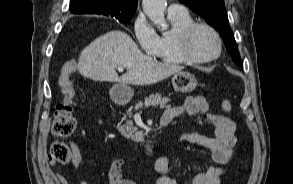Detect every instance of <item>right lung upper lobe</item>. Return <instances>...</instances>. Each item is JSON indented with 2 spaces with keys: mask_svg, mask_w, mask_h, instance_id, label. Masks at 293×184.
<instances>
[{
  "mask_svg": "<svg viewBox=\"0 0 293 184\" xmlns=\"http://www.w3.org/2000/svg\"><path fill=\"white\" fill-rule=\"evenodd\" d=\"M137 0H71L73 14H101L116 18L133 17Z\"/></svg>",
  "mask_w": 293,
  "mask_h": 184,
  "instance_id": "right-lung-upper-lobe-1",
  "label": "right lung upper lobe"
}]
</instances>
